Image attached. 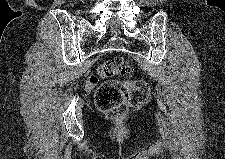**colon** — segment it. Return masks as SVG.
Segmentation results:
<instances>
[{"mask_svg":"<svg viewBox=\"0 0 225 159\" xmlns=\"http://www.w3.org/2000/svg\"><path fill=\"white\" fill-rule=\"evenodd\" d=\"M133 70L123 57L104 61L98 68V76L111 78L126 77V80H108L103 82L95 92L97 108L110 118L124 116L130 108L145 104L149 97V85L144 80L134 79Z\"/></svg>","mask_w":225,"mask_h":159,"instance_id":"1","label":"colon"}]
</instances>
